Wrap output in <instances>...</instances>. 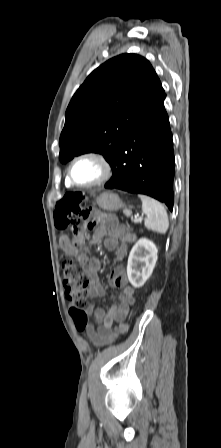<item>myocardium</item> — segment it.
I'll list each match as a JSON object with an SVG mask.
<instances>
[{
    "mask_svg": "<svg viewBox=\"0 0 221 448\" xmlns=\"http://www.w3.org/2000/svg\"><path fill=\"white\" fill-rule=\"evenodd\" d=\"M86 158L95 160L96 162H98L100 164V166L102 167V175L99 179H97L96 181H94L92 183L81 184V183L76 182L73 179L72 168H73V165L75 164V162H77L78 160H81V159H86ZM113 174H114V167H113L112 163L110 162V160L102 153L91 151V152L82 153V154L76 156L75 158H73V160L70 162V164L68 166L67 180L69 181V183L71 185L79 187V188H93V187L101 186V185L107 183L112 178Z\"/></svg>",
    "mask_w": 221,
    "mask_h": 448,
    "instance_id": "obj_1",
    "label": "myocardium"
}]
</instances>
